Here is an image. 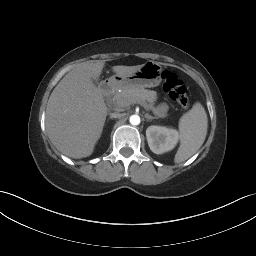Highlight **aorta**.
Here are the masks:
<instances>
[{
    "instance_id": "762f6f07",
    "label": "aorta",
    "mask_w": 256,
    "mask_h": 256,
    "mask_svg": "<svg viewBox=\"0 0 256 256\" xmlns=\"http://www.w3.org/2000/svg\"><path fill=\"white\" fill-rule=\"evenodd\" d=\"M130 123L132 125H139L140 124V117L138 115H132L130 116Z\"/></svg>"
}]
</instances>
